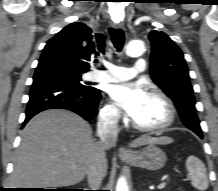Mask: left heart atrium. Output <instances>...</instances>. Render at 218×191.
<instances>
[{
  "instance_id": "left-heart-atrium-1",
  "label": "left heart atrium",
  "mask_w": 218,
  "mask_h": 191,
  "mask_svg": "<svg viewBox=\"0 0 218 191\" xmlns=\"http://www.w3.org/2000/svg\"><path fill=\"white\" fill-rule=\"evenodd\" d=\"M112 99L134 119L147 100L149 93L140 82L113 86L110 90Z\"/></svg>"
}]
</instances>
